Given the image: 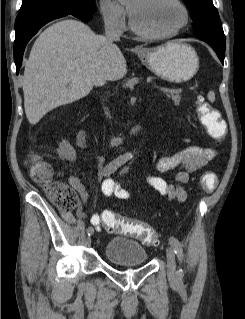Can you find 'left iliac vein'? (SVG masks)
<instances>
[{
  "mask_svg": "<svg viewBox=\"0 0 245 319\" xmlns=\"http://www.w3.org/2000/svg\"><path fill=\"white\" fill-rule=\"evenodd\" d=\"M166 257H167L168 278L171 282H176L178 279L177 272H176V258H175L174 251L171 247H167Z\"/></svg>",
  "mask_w": 245,
  "mask_h": 319,
  "instance_id": "4c4485c4",
  "label": "left iliac vein"
}]
</instances>
